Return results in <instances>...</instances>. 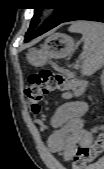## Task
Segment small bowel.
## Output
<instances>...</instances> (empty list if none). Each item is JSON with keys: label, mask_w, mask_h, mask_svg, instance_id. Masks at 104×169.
Wrapping results in <instances>:
<instances>
[{"label": "small bowel", "mask_w": 104, "mask_h": 169, "mask_svg": "<svg viewBox=\"0 0 104 169\" xmlns=\"http://www.w3.org/2000/svg\"><path fill=\"white\" fill-rule=\"evenodd\" d=\"M63 96L67 101L56 108L51 118L54 129L48 137V146L68 161L74 157L79 146L92 142L95 131L85 127L87 105L73 100L71 93H64Z\"/></svg>", "instance_id": "c3829d8e"}]
</instances>
